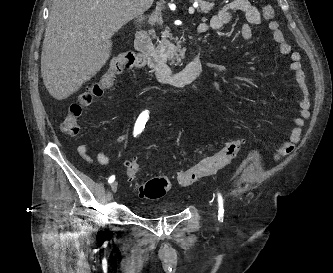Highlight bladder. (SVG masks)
Returning <instances> with one entry per match:
<instances>
[{"instance_id":"31cf9c89","label":"bladder","mask_w":333,"mask_h":273,"mask_svg":"<svg viewBox=\"0 0 333 273\" xmlns=\"http://www.w3.org/2000/svg\"><path fill=\"white\" fill-rule=\"evenodd\" d=\"M171 212H173V210H167V213H171ZM158 214L161 215V214H164V213L159 212Z\"/></svg>"}]
</instances>
